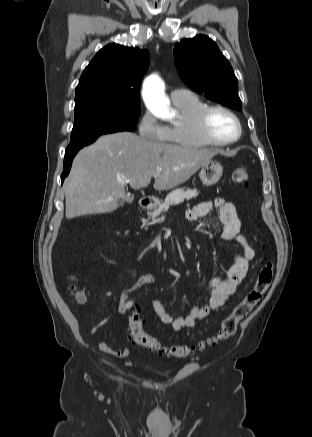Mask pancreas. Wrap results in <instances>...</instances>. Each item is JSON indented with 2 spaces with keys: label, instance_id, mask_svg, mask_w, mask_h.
Returning a JSON list of instances; mask_svg holds the SVG:
<instances>
[{
  "label": "pancreas",
  "instance_id": "obj_1",
  "mask_svg": "<svg viewBox=\"0 0 312 437\" xmlns=\"http://www.w3.org/2000/svg\"><path fill=\"white\" fill-rule=\"evenodd\" d=\"M197 195L198 191L196 189L188 188L187 190H184V188H178L173 190L166 196L165 200L159 204L158 208H156L153 212L148 213V218L155 220L162 212L167 211L170 206L178 205L184 202L185 199L190 200L195 198ZM144 223H148V220L145 219Z\"/></svg>",
  "mask_w": 312,
  "mask_h": 437
}]
</instances>
